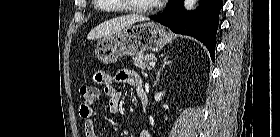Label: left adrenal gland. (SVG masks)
Here are the masks:
<instances>
[{"mask_svg":"<svg viewBox=\"0 0 280 137\" xmlns=\"http://www.w3.org/2000/svg\"><path fill=\"white\" fill-rule=\"evenodd\" d=\"M169 64H170V61H168V57L165 56L164 59H163V64H162V66L160 67V69H159L158 72H157L156 81H155V83H154V86H156L157 82L159 81V76H160L161 71L164 69V67H165L166 65H169Z\"/></svg>","mask_w":280,"mask_h":137,"instance_id":"obj_1","label":"left adrenal gland"}]
</instances>
